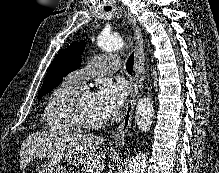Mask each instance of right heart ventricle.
Instances as JSON below:
<instances>
[{
  "label": "right heart ventricle",
  "instance_id": "1",
  "mask_svg": "<svg viewBox=\"0 0 219 173\" xmlns=\"http://www.w3.org/2000/svg\"><path fill=\"white\" fill-rule=\"evenodd\" d=\"M82 89L67 78L51 92L45 110L46 127L59 134H75L82 130L72 121L68 106L71 99Z\"/></svg>",
  "mask_w": 219,
  "mask_h": 173
}]
</instances>
